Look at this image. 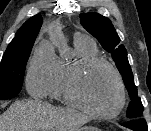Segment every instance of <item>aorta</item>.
Segmentation results:
<instances>
[{
    "label": "aorta",
    "instance_id": "1",
    "mask_svg": "<svg viewBox=\"0 0 151 131\" xmlns=\"http://www.w3.org/2000/svg\"><path fill=\"white\" fill-rule=\"evenodd\" d=\"M52 33H53V36H54L55 38L61 39V38L59 37L60 32H59L58 29L55 28ZM62 54H63V55H67V52H66L65 50H63V51H62Z\"/></svg>",
    "mask_w": 151,
    "mask_h": 131
}]
</instances>
